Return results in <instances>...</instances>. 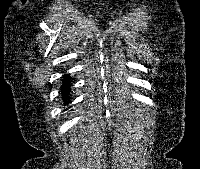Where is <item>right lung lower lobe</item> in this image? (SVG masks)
Returning a JSON list of instances; mask_svg holds the SVG:
<instances>
[{"label": "right lung lower lobe", "mask_w": 200, "mask_h": 169, "mask_svg": "<svg viewBox=\"0 0 200 169\" xmlns=\"http://www.w3.org/2000/svg\"><path fill=\"white\" fill-rule=\"evenodd\" d=\"M68 80H69V77H68L67 74H65L64 79H63V86L61 88L62 95L64 96L65 104L69 102V100H68V94L71 91L70 85L68 84Z\"/></svg>", "instance_id": "right-lung-lower-lobe-1"}]
</instances>
